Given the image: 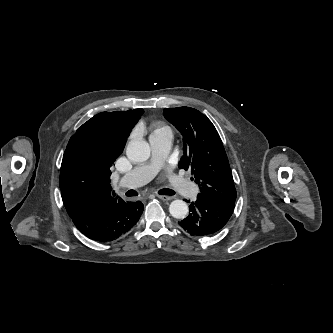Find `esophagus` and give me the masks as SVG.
Returning a JSON list of instances; mask_svg holds the SVG:
<instances>
[{
    "label": "esophagus",
    "instance_id": "esophagus-1",
    "mask_svg": "<svg viewBox=\"0 0 333 333\" xmlns=\"http://www.w3.org/2000/svg\"><path fill=\"white\" fill-rule=\"evenodd\" d=\"M156 196H157L159 199H161L162 201H170V200H172V197H171V196L159 195V194H157Z\"/></svg>",
    "mask_w": 333,
    "mask_h": 333
}]
</instances>
